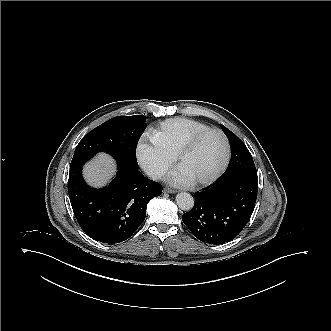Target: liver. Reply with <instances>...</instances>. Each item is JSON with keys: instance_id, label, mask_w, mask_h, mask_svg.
<instances>
[{"instance_id": "obj_1", "label": "liver", "mask_w": 331, "mask_h": 331, "mask_svg": "<svg viewBox=\"0 0 331 331\" xmlns=\"http://www.w3.org/2000/svg\"><path fill=\"white\" fill-rule=\"evenodd\" d=\"M85 180L94 187H102L115 174L114 160L105 153H100L97 157L85 165Z\"/></svg>"}]
</instances>
